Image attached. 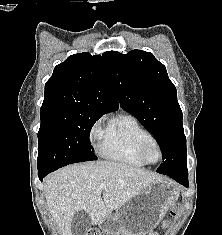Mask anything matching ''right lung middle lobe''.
Returning a JSON list of instances; mask_svg holds the SVG:
<instances>
[{
  "label": "right lung middle lobe",
  "mask_w": 222,
  "mask_h": 235,
  "mask_svg": "<svg viewBox=\"0 0 222 235\" xmlns=\"http://www.w3.org/2000/svg\"><path fill=\"white\" fill-rule=\"evenodd\" d=\"M103 114L57 109L41 113L38 132V172L57 170L68 164L97 160L89 134Z\"/></svg>",
  "instance_id": "1"
}]
</instances>
